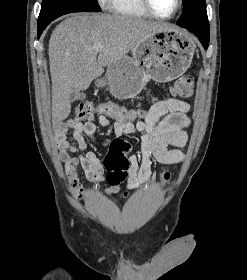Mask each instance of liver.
Returning <instances> with one entry per match:
<instances>
[{"label": "liver", "mask_w": 247, "mask_h": 280, "mask_svg": "<svg viewBox=\"0 0 247 280\" xmlns=\"http://www.w3.org/2000/svg\"><path fill=\"white\" fill-rule=\"evenodd\" d=\"M169 28L174 27L125 15L88 13L73 14L57 25L49 40L53 126L69 116L73 91L87 90L104 67L152 34ZM99 44L101 49L95 51Z\"/></svg>", "instance_id": "1"}]
</instances>
